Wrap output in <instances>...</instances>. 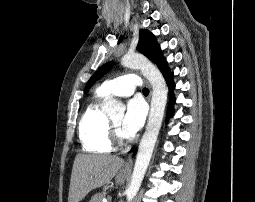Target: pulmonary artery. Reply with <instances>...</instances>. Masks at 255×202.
Returning <instances> with one entry per match:
<instances>
[{"label": "pulmonary artery", "mask_w": 255, "mask_h": 202, "mask_svg": "<svg viewBox=\"0 0 255 202\" xmlns=\"http://www.w3.org/2000/svg\"><path fill=\"white\" fill-rule=\"evenodd\" d=\"M140 85L141 80L137 75L126 74L103 82L97 89V94L101 97H126L132 95Z\"/></svg>", "instance_id": "obj_1"}]
</instances>
